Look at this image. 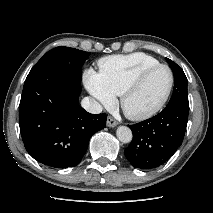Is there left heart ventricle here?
<instances>
[{
	"instance_id": "left-heart-ventricle-1",
	"label": "left heart ventricle",
	"mask_w": 213,
	"mask_h": 213,
	"mask_svg": "<svg viewBox=\"0 0 213 213\" xmlns=\"http://www.w3.org/2000/svg\"><path fill=\"white\" fill-rule=\"evenodd\" d=\"M169 80V72L164 68L151 72L127 98L126 110L139 113L153 107L165 94Z\"/></svg>"
}]
</instances>
